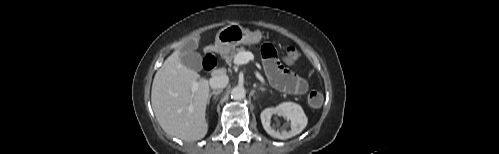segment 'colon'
<instances>
[{"label": "colon", "instance_id": "1", "mask_svg": "<svg viewBox=\"0 0 499 154\" xmlns=\"http://www.w3.org/2000/svg\"><path fill=\"white\" fill-rule=\"evenodd\" d=\"M301 53L300 51L294 47V46H288L285 48L284 53H283V60L289 64H295L299 59H300ZM216 58H214V67L216 66ZM323 102V96L322 94L317 91V90H311L309 95H308V103L312 107H320Z\"/></svg>", "mask_w": 499, "mask_h": 154}]
</instances>
